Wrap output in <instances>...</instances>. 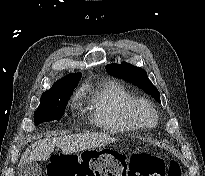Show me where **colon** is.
I'll list each match as a JSON object with an SVG mask.
<instances>
[{"mask_svg": "<svg viewBox=\"0 0 205 176\" xmlns=\"http://www.w3.org/2000/svg\"><path fill=\"white\" fill-rule=\"evenodd\" d=\"M48 176H181L178 162L164 161L151 153L133 154L128 160L107 150L81 154L54 153L47 167Z\"/></svg>", "mask_w": 205, "mask_h": 176, "instance_id": "colon-1", "label": "colon"}]
</instances>
